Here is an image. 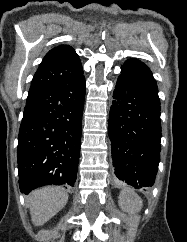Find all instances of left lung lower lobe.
<instances>
[{
  "instance_id": "obj_1",
  "label": "left lung lower lobe",
  "mask_w": 187,
  "mask_h": 242,
  "mask_svg": "<svg viewBox=\"0 0 187 242\" xmlns=\"http://www.w3.org/2000/svg\"><path fill=\"white\" fill-rule=\"evenodd\" d=\"M155 90L123 74L108 123L115 175L137 189L154 184L160 160V100Z\"/></svg>"
}]
</instances>
